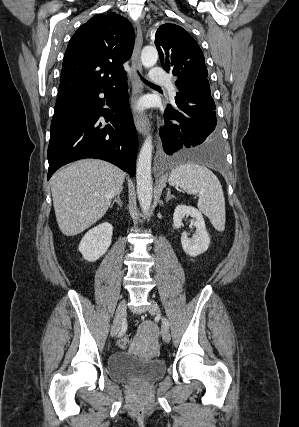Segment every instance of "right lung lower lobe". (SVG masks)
<instances>
[{
	"label": "right lung lower lobe",
	"mask_w": 299,
	"mask_h": 427,
	"mask_svg": "<svg viewBox=\"0 0 299 427\" xmlns=\"http://www.w3.org/2000/svg\"><path fill=\"white\" fill-rule=\"evenodd\" d=\"M126 80L124 75L112 84L56 102L48 147V180L61 166L82 158L106 160L135 175L138 140ZM105 101L111 109L103 108ZM101 116L108 124L100 122Z\"/></svg>",
	"instance_id": "obj_1"
}]
</instances>
